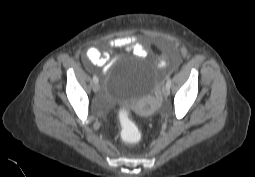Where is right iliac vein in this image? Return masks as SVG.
Masks as SVG:
<instances>
[{
	"mask_svg": "<svg viewBox=\"0 0 255 177\" xmlns=\"http://www.w3.org/2000/svg\"><path fill=\"white\" fill-rule=\"evenodd\" d=\"M93 91H94L95 93H97V92L99 91V84H98V83H94V84H93Z\"/></svg>",
	"mask_w": 255,
	"mask_h": 177,
	"instance_id": "1",
	"label": "right iliac vein"
}]
</instances>
